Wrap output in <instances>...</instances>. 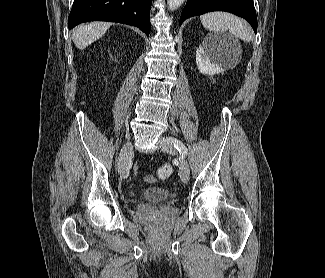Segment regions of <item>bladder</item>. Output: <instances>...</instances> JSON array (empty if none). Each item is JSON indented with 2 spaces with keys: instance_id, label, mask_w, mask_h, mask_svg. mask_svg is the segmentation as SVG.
<instances>
[{
  "instance_id": "1",
  "label": "bladder",
  "mask_w": 325,
  "mask_h": 278,
  "mask_svg": "<svg viewBox=\"0 0 325 278\" xmlns=\"http://www.w3.org/2000/svg\"><path fill=\"white\" fill-rule=\"evenodd\" d=\"M142 196L145 200L152 202L166 201L173 198L172 192L164 187H154L145 189L142 192Z\"/></svg>"
}]
</instances>
